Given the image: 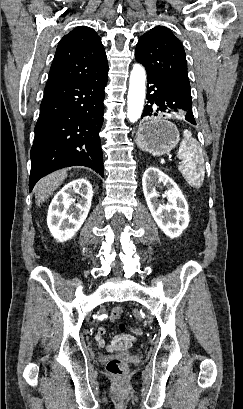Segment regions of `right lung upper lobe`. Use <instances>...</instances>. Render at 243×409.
I'll use <instances>...</instances> for the list:
<instances>
[{
	"instance_id": "1",
	"label": "right lung upper lobe",
	"mask_w": 243,
	"mask_h": 409,
	"mask_svg": "<svg viewBox=\"0 0 243 409\" xmlns=\"http://www.w3.org/2000/svg\"><path fill=\"white\" fill-rule=\"evenodd\" d=\"M108 68L100 37L85 26L73 29L58 44L48 82L86 80Z\"/></svg>"
}]
</instances>
